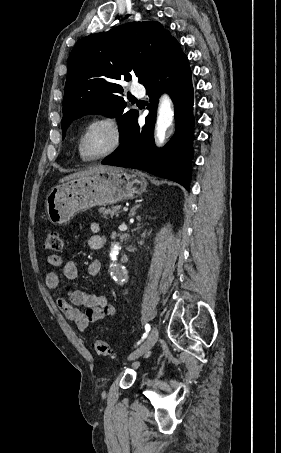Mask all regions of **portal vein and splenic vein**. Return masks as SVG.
I'll list each match as a JSON object with an SVG mask.
<instances>
[{"label": "portal vein and splenic vein", "instance_id": "portal-vein-and-splenic-vein-1", "mask_svg": "<svg viewBox=\"0 0 281 453\" xmlns=\"http://www.w3.org/2000/svg\"><path fill=\"white\" fill-rule=\"evenodd\" d=\"M127 210H128L127 207H122V208H121V211H122V212H127Z\"/></svg>", "mask_w": 281, "mask_h": 453}]
</instances>
